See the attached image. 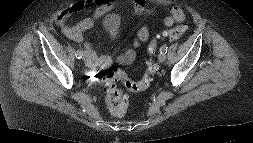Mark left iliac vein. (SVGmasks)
<instances>
[{
    "label": "left iliac vein",
    "instance_id": "left-iliac-vein-1",
    "mask_svg": "<svg viewBox=\"0 0 253 143\" xmlns=\"http://www.w3.org/2000/svg\"><path fill=\"white\" fill-rule=\"evenodd\" d=\"M159 62L163 63L166 60V55L165 54H160L158 57Z\"/></svg>",
    "mask_w": 253,
    "mask_h": 143
}]
</instances>
